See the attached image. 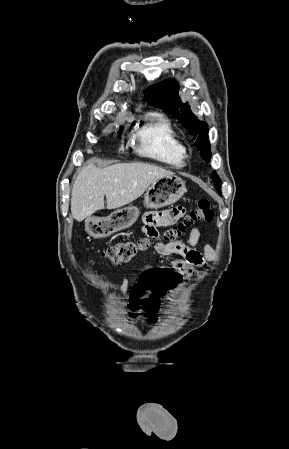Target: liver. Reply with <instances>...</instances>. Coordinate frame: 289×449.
<instances>
[{
	"label": "liver",
	"instance_id": "6515ba94",
	"mask_svg": "<svg viewBox=\"0 0 289 449\" xmlns=\"http://www.w3.org/2000/svg\"><path fill=\"white\" fill-rule=\"evenodd\" d=\"M174 175L162 167L142 163H119L104 169L92 163L79 169L71 195L72 217L81 222L98 210L125 206L139 198L158 179Z\"/></svg>",
	"mask_w": 289,
	"mask_h": 449
}]
</instances>
